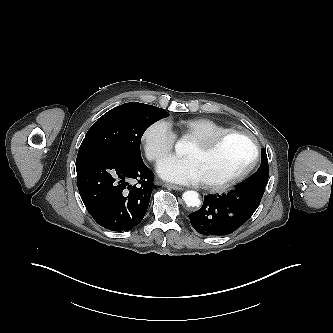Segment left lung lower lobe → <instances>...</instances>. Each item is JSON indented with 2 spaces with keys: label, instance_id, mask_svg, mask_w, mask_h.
<instances>
[{
  "label": "left lung lower lobe",
  "instance_id": "1",
  "mask_svg": "<svg viewBox=\"0 0 333 333\" xmlns=\"http://www.w3.org/2000/svg\"><path fill=\"white\" fill-rule=\"evenodd\" d=\"M263 194L262 189L238 186L227 194L205 196L203 206L189 214L191 225L205 236L230 234L253 215Z\"/></svg>",
  "mask_w": 333,
  "mask_h": 333
}]
</instances>
